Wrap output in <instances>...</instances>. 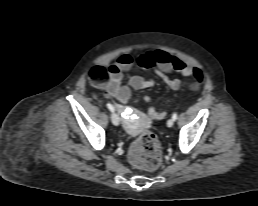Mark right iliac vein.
I'll return each instance as SVG.
<instances>
[{
    "label": "right iliac vein",
    "mask_w": 258,
    "mask_h": 206,
    "mask_svg": "<svg viewBox=\"0 0 258 206\" xmlns=\"http://www.w3.org/2000/svg\"><path fill=\"white\" fill-rule=\"evenodd\" d=\"M111 120H112V123L115 125V126H118L119 125V122H120V120H119V117H118V115L116 114V113H112V115H111Z\"/></svg>",
    "instance_id": "63e3f726"
}]
</instances>
